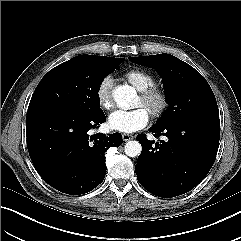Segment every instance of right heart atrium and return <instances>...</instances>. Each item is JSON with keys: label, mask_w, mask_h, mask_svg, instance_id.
I'll return each mask as SVG.
<instances>
[{"label": "right heart atrium", "mask_w": 241, "mask_h": 241, "mask_svg": "<svg viewBox=\"0 0 241 241\" xmlns=\"http://www.w3.org/2000/svg\"><path fill=\"white\" fill-rule=\"evenodd\" d=\"M96 98L102 109L110 110L113 107L112 99V78L104 77L98 84L96 89Z\"/></svg>", "instance_id": "obj_1"}]
</instances>
